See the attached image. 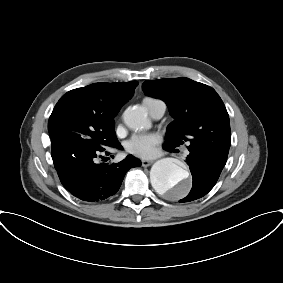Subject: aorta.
Wrapping results in <instances>:
<instances>
[{
    "mask_svg": "<svg viewBox=\"0 0 283 283\" xmlns=\"http://www.w3.org/2000/svg\"><path fill=\"white\" fill-rule=\"evenodd\" d=\"M125 124L133 129L145 128L149 121L140 107L128 108L123 113ZM153 188L159 194H171L174 198L184 197L189 191V173L171 158L155 162L150 171Z\"/></svg>",
    "mask_w": 283,
    "mask_h": 283,
    "instance_id": "aorta-1",
    "label": "aorta"
}]
</instances>
